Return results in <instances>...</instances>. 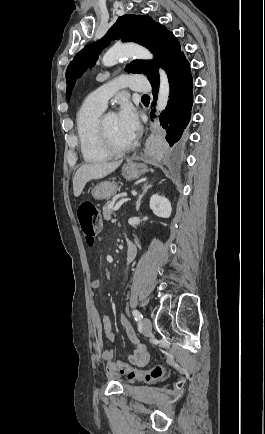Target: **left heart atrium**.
I'll list each match as a JSON object with an SVG mask.
<instances>
[{"mask_svg": "<svg viewBox=\"0 0 265 434\" xmlns=\"http://www.w3.org/2000/svg\"><path fill=\"white\" fill-rule=\"evenodd\" d=\"M122 101L118 113L119 125L125 136L134 142L139 133L138 112L127 99Z\"/></svg>", "mask_w": 265, "mask_h": 434, "instance_id": "1", "label": "left heart atrium"}]
</instances>
